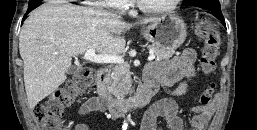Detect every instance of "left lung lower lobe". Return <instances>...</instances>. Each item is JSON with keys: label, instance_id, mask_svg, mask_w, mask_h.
<instances>
[{"label": "left lung lower lobe", "instance_id": "0a47b994", "mask_svg": "<svg viewBox=\"0 0 257 130\" xmlns=\"http://www.w3.org/2000/svg\"><path fill=\"white\" fill-rule=\"evenodd\" d=\"M203 8L211 11V13L214 16L218 17L223 22V24L225 25V20H224V17L222 15V13H221L220 5H205Z\"/></svg>", "mask_w": 257, "mask_h": 130}]
</instances>
